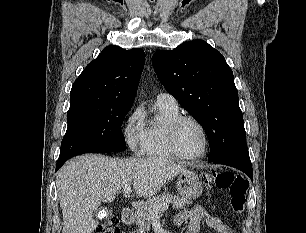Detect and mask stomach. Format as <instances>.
<instances>
[{
    "label": "stomach",
    "instance_id": "obj_1",
    "mask_svg": "<svg viewBox=\"0 0 306 233\" xmlns=\"http://www.w3.org/2000/svg\"><path fill=\"white\" fill-rule=\"evenodd\" d=\"M179 194L185 199L198 198L202 193V184L195 172L180 173L176 183Z\"/></svg>",
    "mask_w": 306,
    "mask_h": 233
}]
</instances>
